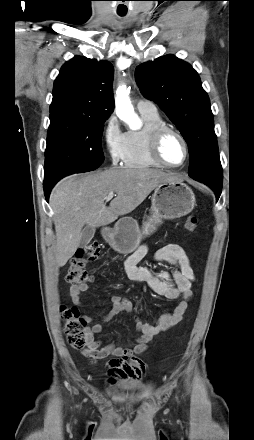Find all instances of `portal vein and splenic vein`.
Returning a JSON list of instances; mask_svg holds the SVG:
<instances>
[{"label":"portal vein and splenic vein","mask_w":254,"mask_h":440,"mask_svg":"<svg viewBox=\"0 0 254 440\" xmlns=\"http://www.w3.org/2000/svg\"><path fill=\"white\" fill-rule=\"evenodd\" d=\"M113 196H114V192H110V193L105 197V200H106V201H109V200H111V199L113 198Z\"/></svg>","instance_id":"18ae733b"}]
</instances>
